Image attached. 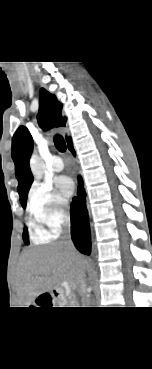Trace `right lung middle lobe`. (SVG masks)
Returning <instances> with one entry per match:
<instances>
[{
	"label": "right lung middle lobe",
	"instance_id": "dd1d6c3e",
	"mask_svg": "<svg viewBox=\"0 0 152 369\" xmlns=\"http://www.w3.org/2000/svg\"><path fill=\"white\" fill-rule=\"evenodd\" d=\"M21 205H22V207H23V208H25V206H26V202H22V203H21ZM23 239H24V242H25L26 244H29V240H28V231H27V229H26V228L24 229Z\"/></svg>",
	"mask_w": 152,
	"mask_h": 369
}]
</instances>
